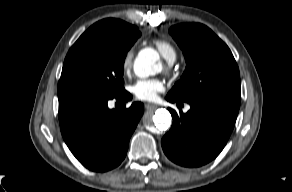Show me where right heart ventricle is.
I'll use <instances>...</instances> for the list:
<instances>
[{"instance_id": "1", "label": "right heart ventricle", "mask_w": 292, "mask_h": 192, "mask_svg": "<svg viewBox=\"0 0 292 192\" xmlns=\"http://www.w3.org/2000/svg\"><path fill=\"white\" fill-rule=\"evenodd\" d=\"M153 44L166 61L173 62L176 59L177 51L169 41L165 39H154Z\"/></svg>"}]
</instances>
